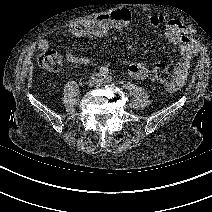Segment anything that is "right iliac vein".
Here are the masks:
<instances>
[{
    "label": "right iliac vein",
    "instance_id": "1",
    "mask_svg": "<svg viewBox=\"0 0 212 212\" xmlns=\"http://www.w3.org/2000/svg\"><path fill=\"white\" fill-rule=\"evenodd\" d=\"M93 85H94V80H90V81L88 82V86L91 87V86H93Z\"/></svg>",
    "mask_w": 212,
    "mask_h": 212
}]
</instances>
